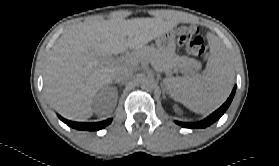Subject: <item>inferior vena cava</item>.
<instances>
[{
    "label": "inferior vena cava",
    "instance_id": "obj_1",
    "mask_svg": "<svg viewBox=\"0 0 279 166\" xmlns=\"http://www.w3.org/2000/svg\"><path fill=\"white\" fill-rule=\"evenodd\" d=\"M133 75L132 69L125 66L117 70L114 74L113 79L115 82H124L128 80Z\"/></svg>",
    "mask_w": 279,
    "mask_h": 166
}]
</instances>
